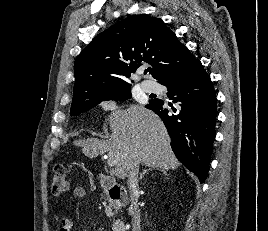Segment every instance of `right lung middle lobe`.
<instances>
[{
	"label": "right lung middle lobe",
	"instance_id": "right-lung-middle-lobe-1",
	"mask_svg": "<svg viewBox=\"0 0 268 231\" xmlns=\"http://www.w3.org/2000/svg\"><path fill=\"white\" fill-rule=\"evenodd\" d=\"M129 98H131L130 87L119 89L100 99L77 102L75 104H72L70 115L74 116L82 112H86L104 100H127Z\"/></svg>",
	"mask_w": 268,
	"mask_h": 231
}]
</instances>
